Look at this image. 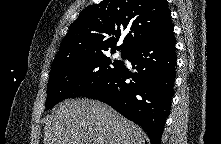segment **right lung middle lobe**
Returning a JSON list of instances; mask_svg holds the SVG:
<instances>
[{
    "instance_id": "1",
    "label": "right lung middle lobe",
    "mask_w": 221,
    "mask_h": 144,
    "mask_svg": "<svg viewBox=\"0 0 221 144\" xmlns=\"http://www.w3.org/2000/svg\"><path fill=\"white\" fill-rule=\"evenodd\" d=\"M125 54L121 53L122 58ZM122 65L123 61L111 62L105 53H101L52 68L47 84L46 107L50 109L64 99L84 95L112 78Z\"/></svg>"
}]
</instances>
